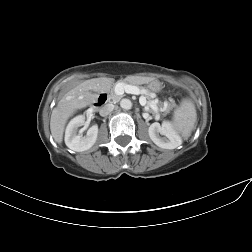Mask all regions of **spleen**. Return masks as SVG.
<instances>
[{
  "mask_svg": "<svg viewBox=\"0 0 252 252\" xmlns=\"http://www.w3.org/2000/svg\"><path fill=\"white\" fill-rule=\"evenodd\" d=\"M197 113L195 105L189 99H184L174 111L173 124L175 129L184 137L188 138L195 128Z\"/></svg>",
  "mask_w": 252,
  "mask_h": 252,
  "instance_id": "obj_1",
  "label": "spleen"
}]
</instances>
